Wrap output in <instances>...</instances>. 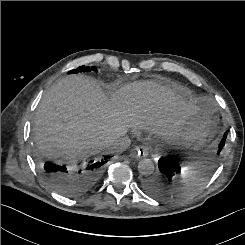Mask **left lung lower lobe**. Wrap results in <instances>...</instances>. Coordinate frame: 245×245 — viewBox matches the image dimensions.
Here are the masks:
<instances>
[{"label":"left lung lower lobe","mask_w":245,"mask_h":245,"mask_svg":"<svg viewBox=\"0 0 245 245\" xmlns=\"http://www.w3.org/2000/svg\"><path fill=\"white\" fill-rule=\"evenodd\" d=\"M227 137V132L224 133L223 138L218 147V154L225 145V140ZM159 173L147 177L142 186L144 190L150 195L157 198H164L168 195L169 191L165 184L167 182H173L178 179L181 167L179 161L175 157H163L158 161Z\"/></svg>","instance_id":"0a47b994"}]
</instances>
